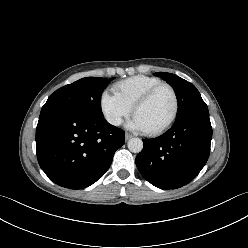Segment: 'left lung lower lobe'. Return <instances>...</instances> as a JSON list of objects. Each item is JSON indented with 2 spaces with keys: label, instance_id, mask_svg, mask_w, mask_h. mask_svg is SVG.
I'll list each match as a JSON object with an SVG mask.
<instances>
[{
  "label": "left lung lower lobe",
  "instance_id": "left-lung-lower-lobe-1",
  "mask_svg": "<svg viewBox=\"0 0 248 248\" xmlns=\"http://www.w3.org/2000/svg\"><path fill=\"white\" fill-rule=\"evenodd\" d=\"M212 138L208 108L175 121L161 136L143 139L136 157L142 176L152 185L169 190L192 181L206 164Z\"/></svg>",
  "mask_w": 248,
  "mask_h": 248
}]
</instances>
